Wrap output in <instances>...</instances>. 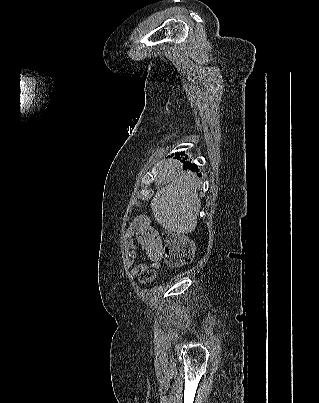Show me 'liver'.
<instances>
[{"mask_svg": "<svg viewBox=\"0 0 319 403\" xmlns=\"http://www.w3.org/2000/svg\"><path fill=\"white\" fill-rule=\"evenodd\" d=\"M180 167L182 164L174 160L162 166L151 208L155 220L163 228L187 234L197 226L201 202L197 193L196 175L184 172ZM163 182L167 184L164 186Z\"/></svg>", "mask_w": 319, "mask_h": 403, "instance_id": "1", "label": "liver"}]
</instances>
